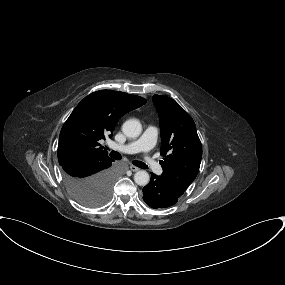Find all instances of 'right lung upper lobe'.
<instances>
[{"label": "right lung upper lobe", "mask_w": 285, "mask_h": 285, "mask_svg": "<svg viewBox=\"0 0 285 285\" xmlns=\"http://www.w3.org/2000/svg\"><path fill=\"white\" fill-rule=\"evenodd\" d=\"M146 103L140 96L100 90L85 97L63 125L59 137L58 161L65 165L87 156L105 155L99 140L112 132L118 120Z\"/></svg>", "instance_id": "1"}]
</instances>
